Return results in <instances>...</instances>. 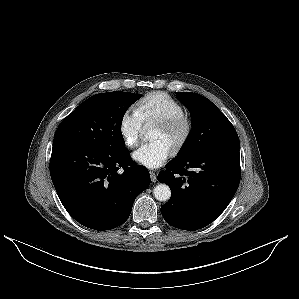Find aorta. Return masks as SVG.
I'll return each mask as SVG.
<instances>
[{
	"label": "aorta",
	"mask_w": 299,
	"mask_h": 299,
	"mask_svg": "<svg viewBox=\"0 0 299 299\" xmlns=\"http://www.w3.org/2000/svg\"><path fill=\"white\" fill-rule=\"evenodd\" d=\"M153 193L155 198L161 202L168 201L171 197V190L166 184H158Z\"/></svg>",
	"instance_id": "aorta-1"
}]
</instances>
